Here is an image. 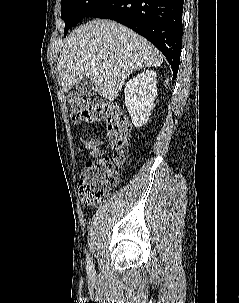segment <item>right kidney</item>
<instances>
[{
    "label": "right kidney",
    "mask_w": 239,
    "mask_h": 303,
    "mask_svg": "<svg viewBox=\"0 0 239 303\" xmlns=\"http://www.w3.org/2000/svg\"><path fill=\"white\" fill-rule=\"evenodd\" d=\"M156 77L153 70H146L125 84V105L136 127L148 122L157 96Z\"/></svg>",
    "instance_id": "1"
}]
</instances>
